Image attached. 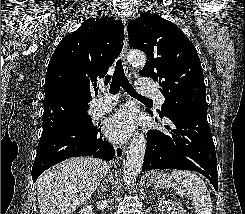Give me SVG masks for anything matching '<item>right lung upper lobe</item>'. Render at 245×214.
Instances as JSON below:
<instances>
[{"label": "right lung upper lobe", "mask_w": 245, "mask_h": 214, "mask_svg": "<svg viewBox=\"0 0 245 214\" xmlns=\"http://www.w3.org/2000/svg\"><path fill=\"white\" fill-rule=\"evenodd\" d=\"M124 29L113 18L88 19L56 47L46 73L43 129L73 120L98 93L97 80L119 55Z\"/></svg>", "instance_id": "obj_1"}]
</instances>
